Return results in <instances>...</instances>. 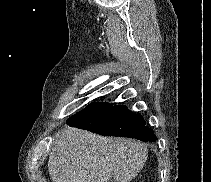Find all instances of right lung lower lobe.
Here are the masks:
<instances>
[{
	"instance_id": "1",
	"label": "right lung lower lobe",
	"mask_w": 211,
	"mask_h": 182,
	"mask_svg": "<svg viewBox=\"0 0 211 182\" xmlns=\"http://www.w3.org/2000/svg\"><path fill=\"white\" fill-rule=\"evenodd\" d=\"M67 124L106 136L130 137L144 142L156 141L154 132L145 126L143 117L135 115L122 105L91 103L70 117Z\"/></svg>"
}]
</instances>
